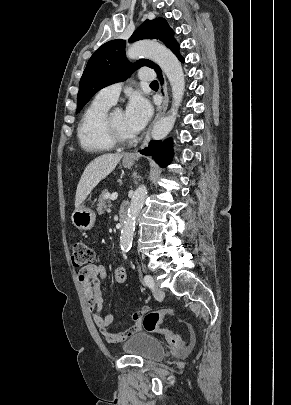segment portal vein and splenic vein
<instances>
[{"instance_id":"portal-vein-and-splenic-vein-1","label":"portal vein and splenic vein","mask_w":291,"mask_h":405,"mask_svg":"<svg viewBox=\"0 0 291 405\" xmlns=\"http://www.w3.org/2000/svg\"><path fill=\"white\" fill-rule=\"evenodd\" d=\"M117 197H118V193H117V192H114V193H112V194L110 195V199H111V200H116Z\"/></svg>"}]
</instances>
